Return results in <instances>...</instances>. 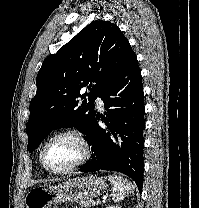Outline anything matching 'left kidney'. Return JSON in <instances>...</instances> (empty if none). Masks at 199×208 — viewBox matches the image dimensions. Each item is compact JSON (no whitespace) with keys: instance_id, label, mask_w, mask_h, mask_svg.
<instances>
[{"instance_id":"left-kidney-1","label":"left kidney","mask_w":199,"mask_h":208,"mask_svg":"<svg viewBox=\"0 0 199 208\" xmlns=\"http://www.w3.org/2000/svg\"><path fill=\"white\" fill-rule=\"evenodd\" d=\"M106 208H121V207H119V206H108Z\"/></svg>"}]
</instances>
